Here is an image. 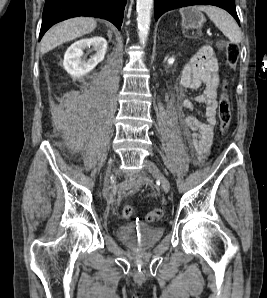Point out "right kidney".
<instances>
[{
  "mask_svg": "<svg viewBox=\"0 0 267 298\" xmlns=\"http://www.w3.org/2000/svg\"><path fill=\"white\" fill-rule=\"evenodd\" d=\"M92 47L96 52L90 59L83 57V50ZM107 50V41L101 36L81 39L73 43L65 52L63 67L73 77H80L92 71L103 61Z\"/></svg>",
  "mask_w": 267,
  "mask_h": 298,
  "instance_id": "obj_1",
  "label": "right kidney"
}]
</instances>
